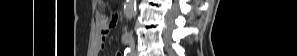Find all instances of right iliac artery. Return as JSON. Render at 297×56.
<instances>
[{"mask_svg":"<svg viewBox=\"0 0 297 56\" xmlns=\"http://www.w3.org/2000/svg\"><path fill=\"white\" fill-rule=\"evenodd\" d=\"M129 40H130V36H129L128 34H124V35L122 36V42H123L124 44H128V43H129Z\"/></svg>","mask_w":297,"mask_h":56,"instance_id":"1","label":"right iliac artery"}]
</instances>
